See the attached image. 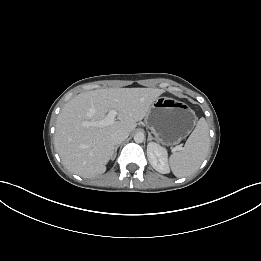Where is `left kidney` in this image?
<instances>
[{"mask_svg":"<svg viewBox=\"0 0 261 261\" xmlns=\"http://www.w3.org/2000/svg\"><path fill=\"white\" fill-rule=\"evenodd\" d=\"M147 157L156 171L162 174L169 173L167 151L163 147L154 142L148 143Z\"/></svg>","mask_w":261,"mask_h":261,"instance_id":"5707ae66","label":"left kidney"}]
</instances>
